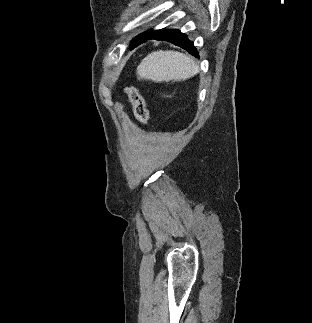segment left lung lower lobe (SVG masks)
I'll list each match as a JSON object with an SVG mask.
<instances>
[{"label":"left lung lower lobe","instance_id":"0a47b994","mask_svg":"<svg viewBox=\"0 0 312 323\" xmlns=\"http://www.w3.org/2000/svg\"><path fill=\"white\" fill-rule=\"evenodd\" d=\"M149 39L166 40V41L172 42L175 45L180 46L181 48L187 50L190 54L194 55L195 57L199 56L198 51L193 45V42H191L187 38V36L181 33L179 30L160 29L157 31H150L149 34L144 37L142 42Z\"/></svg>","mask_w":312,"mask_h":323}]
</instances>
